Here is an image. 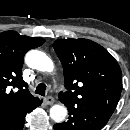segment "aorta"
<instances>
[{
  "label": "aorta",
  "instance_id": "aorta-1",
  "mask_svg": "<svg viewBox=\"0 0 130 130\" xmlns=\"http://www.w3.org/2000/svg\"><path fill=\"white\" fill-rule=\"evenodd\" d=\"M27 66L41 72L51 73L54 70L53 61L42 51L30 50L25 56ZM67 109L63 105H54L50 108V117L59 123L65 120Z\"/></svg>",
  "mask_w": 130,
  "mask_h": 130
}]
</instances>
